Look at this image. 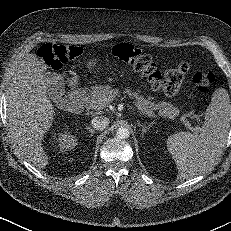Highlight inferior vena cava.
<instances>
[{
	"label": "inferior vena cava",
	"mask_w": 231,
	"mask_h": 231,
	"mask_svg": "<svg viewBox=\"0 0 231 231\" xmlns=\"http://www.w3.org/2000/svg\"><path fill=\"white\" fill-rule=\"evenodd\" d=\"M110 121L107 117H94L91 121L92 127L96 130H104L108 125Z\"/></svg>",
	"instance_id": "602c4592"
}]
</instances>
